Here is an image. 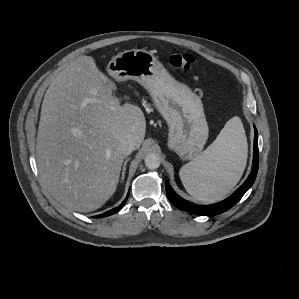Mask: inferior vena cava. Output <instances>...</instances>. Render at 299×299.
Returning a JSON list of instances; mask_svg holds the SVG:
<instances>
[{"label":"inferior vena cava","mask_w":299,"mask_h":299,"mask_svg":"<svg viewBox=\"0 0 299 299\" xmlns=\"http://www.w3.org/2000/svg\"><path fill=\"white\" fill-rule=\"evenodd\" d=\"M137 148V144L132 140H124L119 145V151L127 156L130 155Z\"/></svg>","instance_id":"602c4592"}]
</instances>
